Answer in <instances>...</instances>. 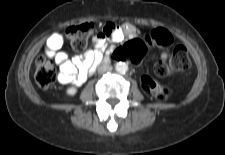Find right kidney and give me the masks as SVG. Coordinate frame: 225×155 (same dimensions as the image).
I'll list each match as a JSON object with an SVG mask.
<instances>
[{
    "label": "right kidney",
    "mask_w": 225,
    "mask_h": 155,
    "mask_svg": "<svg viewBox=\"0 0 225 155\" xmlns=\"http://www.w3.org/2000/svg\"><path fill=\"white\" fill-rule=\"evenodd\" d=\"M76 92H77V89L74 88V87H71V88L67 89V91H66V93H67L68 95H70V96L75 95Z\"/></svg>",
    "instance_id": "ca27d5eb"
}]
</instances>
